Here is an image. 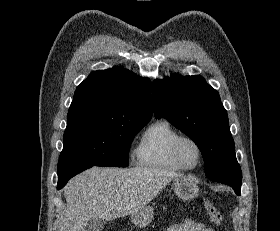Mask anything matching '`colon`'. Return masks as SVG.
I'll return each mask as SVG.
<instances>
[{
    "label": "colon",
    "mask_w": 280,
    "mask_h": 231,
    "mask_svg": "<svg viewBox=\"0 0 280 231\" xmlns=\"http://www.w3.org/2000/svg\"><path fill=\"white\" fill-rule=\"evenodd\" d=\"M205 208L207 210V213H208L210 219L214 223L220 224L221 220H222V216H221L219 209L211 201L205 202Z\"/></svg>",
    "instance_id": "colon-1"
}]
</instances>
